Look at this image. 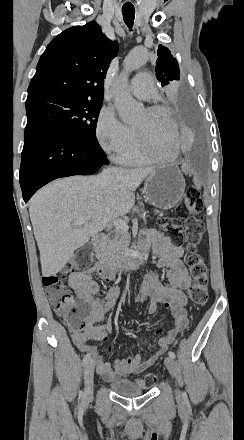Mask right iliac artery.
<instances>
[{"label":"right iliac artery","mask_w":244,"mask_h":440,"mask_svg":"<svg viewBox=\"0 0 244 440\" xmlns=\"http://www.w3.org/2000/svg\"><path fill=\"white\" fill-rule=\"evenodd\" d=\"M90 358H91V353H88V354H86V355L84 356V358H83V362H82L83 366H85V365L88 363V361L90 360Z\"/></svg>","instance_id":"82829eb1"}]
</instances>
